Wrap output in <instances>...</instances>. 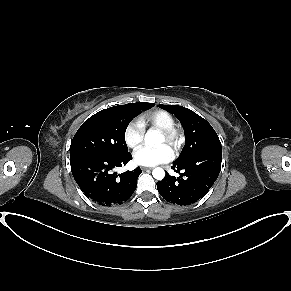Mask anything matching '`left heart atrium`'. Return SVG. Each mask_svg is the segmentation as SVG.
I'll return each instance as SVG.
<instances>
[{
	"label": "left heart atrium",
	"mask_w": 291,
	"mask_h": 291,
	"mask_svg": "<svg viewBox=\"0 0 291 291\" xmlns=\"http://www.w3.org/2000/svg\"><path fill=\"white\" fill-rule=\"evenodd\" d=\"M134 161L142 166H155L170 161L172 150L165 144L156 147L141 146L134 151Z\"/></svg>",
	"instance_id": "1"
}]
</instances>
